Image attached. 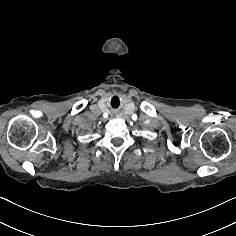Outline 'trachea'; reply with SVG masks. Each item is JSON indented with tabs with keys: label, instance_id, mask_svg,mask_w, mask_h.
<instances>
[{
	"label": "trachea",
	"instance_id": "trachea-1",
	"mask_svg": "<svg viewBox=\"0 0 236 236\" xmlns=\"http://www.w3.org/2000/svg\"><path fill=\"white\" fill-rule=\"evenodd\" d=\"M122 105V98L119 95H112L108 99V107L111 110H118Z\"/></svg>",
	"mask_w": 236,
	"mask_h": 236
}]
</instances>
